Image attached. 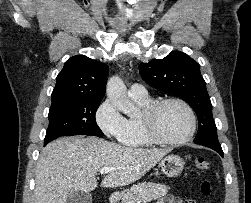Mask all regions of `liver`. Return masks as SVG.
<instances>
[{
	"mask_svg": "<svg viewBox=\"0 0 251 203\" xmlns=\"http://www.w3.org/2000/svg\"><path fill=\"white\" fill-rule=\"evenodd\" d=\"M170 149L121 146L96 137H63L41 152L36 170L35 203H66L74 191L89 193L97 187V172L114 170L101 187L129 185L142 178Z\"/></svg>",
	"mask_w": 251,
	"mask_h": 203,
	"instance_id": "1",
	"label": "liver"
}]
</instances>
